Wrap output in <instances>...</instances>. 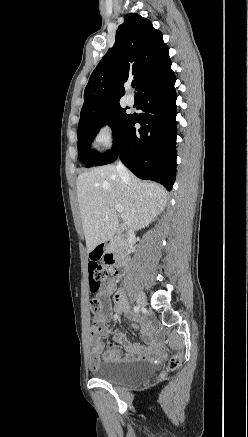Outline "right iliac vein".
Here are the masks:
<instances>
[{"instance_id":"right-iliac-vein-1","label":"right iliac vein","mask_w":248,"mask_h":437,"mask_svg":"<svg viewBox=\"0 0 248 437\" xmlns=\"http://www.w3.org/2000/svg\"><path fill=\"white\" fill-rule=\"evenodd\" d=\"M137 304L140 308H143L146 305V297L142 292L137 296Z\"/></svg>"}]
</instances>
